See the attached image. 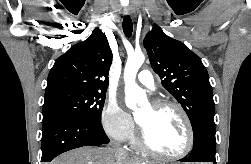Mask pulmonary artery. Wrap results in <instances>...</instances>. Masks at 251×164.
I'll use <instances>...</instances> for the list:
<instances>
[{
    "mask_svg": "<svg viewBox=\"0 0 251 164\" xmlns=\"http://www.w3.org/2000/svg\"><path fill=\"white\" fill-rule=\"evenodd\" d=\"M137 81L150 90L155 89L154 78L149 70H142L137 76Z\"/></svg>",
    "mask_w": 251,
    "mask_h": 164,
    "instance_id": "obj_1",
    "label": "pulmonary artery"
}]
</instances>
